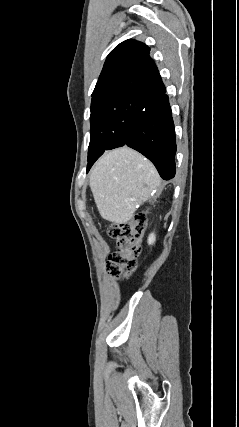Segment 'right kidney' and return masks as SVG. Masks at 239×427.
<instances>
[{"label": "right kidney", "mask_w": 239, "mask_h": 427, "mask_svg": "<svg viewBox=\"0 0 239 427\" xmlns=\"http://www.w3.org/2000/svg\"><path fill=\"white\" fill-rule=\"evenodd\" d=\"M155 242V235H154V233H151L150 235H149V238H148V244H153Z\"/></svg>", "instance_id": "1"}]
</instances>
